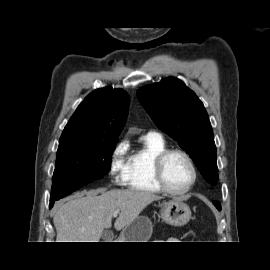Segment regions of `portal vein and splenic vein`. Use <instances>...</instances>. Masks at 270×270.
Returning a JSON list of instances; mask_svg holds the SVG:
<instances>
[{
	"mask_svg": "<svg viewBox=\"0 0 270 270\" xmlns=\"http://www.w3.org/2000/svg\"><path fill=\"white\" fill-rule=\"evenodd\" d=\"M118 213H119L118 210L114 211V212H113V216H114V217H117Z\"/></svg>",
	"mask_w": 270,
	"mask_h": 270,
	"instance_id": "portal-vein-and-splenic-vein-1",
	"label": "portal vein and splenic vein"
}]
</instances>
